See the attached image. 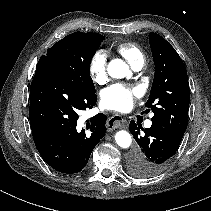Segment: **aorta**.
Masks as SVG:
<instances>
[{
    "instance_id": "1",
    "label": "aorta",
    "mask_w": 211,
    "mask_h": 211,
    "mask_svg": "<svg viewBox=\"0 0 211 211\" xmlns=\"http://www.w3.org/2000/svg\"><path fill=\"white\" fill-rule=\"evenodd\" d=\"M107 72L112 78L121 79L126 77L129 67L123 60L113 59L108 64ZM115 141L121 148H128L131 145L132 138L127 131L120 130L115 134Z\"/></svg>"
}]
</instances>
